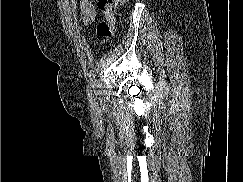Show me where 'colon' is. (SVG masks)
<instances>
[{
	"mask_svg": "<svg viewBox=\"0 0 243 182\" xmlns=\"http://www.w3.org/2000/svg\"><path fill=\"white\" fill-rule=\"evenodd\" d=\"M125 0H98V9L104 19L97 25L96 36L100 44H106L115 33V13Z\"/></svg>",
	"mask_w": 243,
	"mask_h": 182,
	"instance_id": "colon-1",
	"label": "colon"
}]
</instances>
